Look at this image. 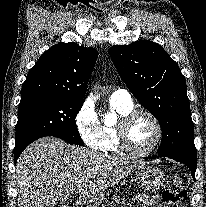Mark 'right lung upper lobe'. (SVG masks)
Masks as SVG:
<instances>
[{"instance_id":"right-lung-upper-lobe-1","label":"right lung upper lobe","mask_w":206,"mask_h":207,"mask_svg":"<svg viewBox=\"0 0 206 207\" xmlns=\"http://www.w3.org/2000/svg\"><path fill=\"white\" fill-rule=\"evenodd\" d=\"M97 57L96 49L74 42L52 46L29 71L22 85L21 101L37 96L84 101Z\"/></svg>"}]
</instances>
